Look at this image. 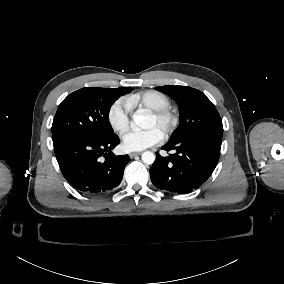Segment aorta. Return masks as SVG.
<instances>
[{
	"instance_id": "1",
	"label": "aorta",
	"mask_w": 284,
	"mask_h": 284,
	"mask_svg": "<svg viewBox=\"0 0 284 284\" xmlns=\"http://www.w3.org/2000/svg\"><path fill=\"white\" fill-rule=\"evenodd\" d=\"M133 120L135 125L142 129H146L149 127L150 117L144 110L136 112L133 116ZM142 161L148 165L153 164L155 161V155L150 151H145L142 154Z\"/></svg>"
}]
</instances>
